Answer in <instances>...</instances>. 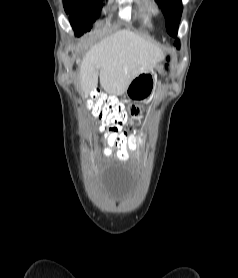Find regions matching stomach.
Masks as SVG:
<instances>
[{
    "instance_id": "stomach-1",
    "label": "stomach",
    "mask_w": 238,
    "mask_h": 278,
    "mask_svg": "<svg viewBox=\"0 0 238 278\" xmlns=\"http://www.w3.org/2000/svg\"><path fill=\"white\" fill-rule=\"evenodd\" d=\"M156 79L153 73L145 72L137 75L128 85L125 96L134 101H144L154 92Z\"/></svg>"
}]
</instances>
